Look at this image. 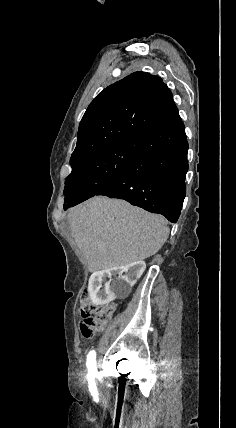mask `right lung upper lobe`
Returning <instances> with one entry per match:
<instances>
[{"instance_id":"obj_1","label":"right lung upper lobe","mask_w":236,"mask_h":428,"mask_svg":"<svg viewBox=\"0 0 236 428\" xmlns=\"http://www.w3.org/2000/svg\"><path fill=\"white\" fill-rule=\"evenodd\" d=\"M177 111L172 93L160 77L134 72L105 88L90 103L79 125L70 164L138 139Z\"/></svg>"}]
</instances>
